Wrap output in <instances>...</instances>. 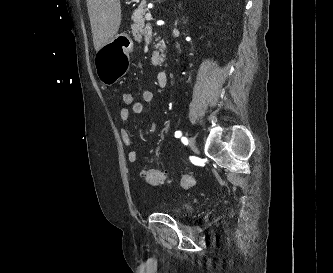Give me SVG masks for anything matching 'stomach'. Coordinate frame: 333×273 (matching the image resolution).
Here are the masks:
<instances>
[{"label":"stomach","instance_id":"1","mask_svg":"<svg viewBox=\"0 0 333 273\" xmlns=\"http://www.w3.org/2000/svg\"><path fill=\"white\" fill-rule=\"evenodd\" d=\"M133 40L128 33L117 34L95 54V68L99 80L112 85L128 70V54L133 51Z\"/></svg>","mask_w":333,"mask_h":273}]
</instances>
